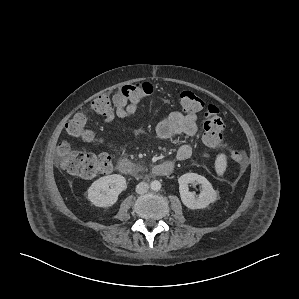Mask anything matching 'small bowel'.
<instances>
[{
  "mask_svg": "<svg viewBox=\"0 0 299 299\" xmlns=\"http://www.w3.org/2000/svg\"><path fill=\"white\" fill-rule=\"evenodd\" d=\"M112 101L113 106L111 110L104 115L106 125L111 124L115 118H127L138 109V102L129 101L120 93H115ZM197 120L198 117L194 113L182 114L180 112H172L156 126V135L160 139H169L180 135L195 136L198 133ZM191 155L192 148L189 144H182L176 152V158L179 161L187 160Z\"/></svg>",
  "mask_w": 299,
  "mask_h": 299,
  "instance_id": "c3829d8e",
  "label": "small bowel"
}]
</instances>
